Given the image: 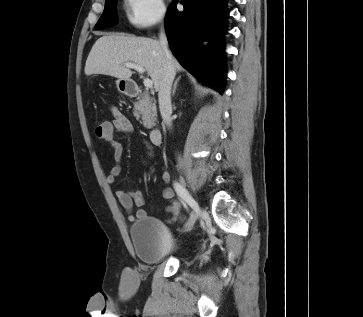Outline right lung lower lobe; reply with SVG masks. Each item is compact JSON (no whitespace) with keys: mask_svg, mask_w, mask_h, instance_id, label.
<instances>
[{"mask_svg":"<svg viewBox=\"0 0 363 317\" xmlns=\"http://www.w3.org/2000/svg\"><path fill=\"white\" fill-rule=\"evenodd\" d=\"M184 11L175 3L166 15L170 48L190 73L222 94L225 83L223 36L227 29L226 0H183ZM208 41L209 45L201 42Z\"/></svg>","mask_w":363,"mask_h":317,"instance_id":"1","label":"right lung lower lobe"}]
</instances>
